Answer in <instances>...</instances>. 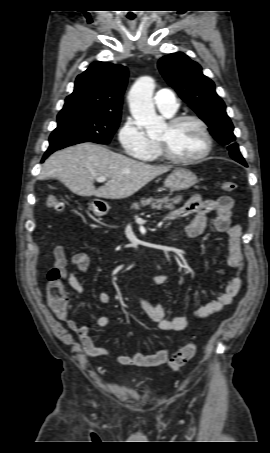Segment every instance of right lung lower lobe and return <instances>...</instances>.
<instances>
[{"label":"right lung lower lobe","instance_id":"obj_1","mask_svg":"<svg viewBox=\"0 0 270 453\" xmlns=\"http://www.w3.org/2000/svg\"><path fill=\"white\" fill-rule=\"evenodd\" d=\"M54 151L56 150H47L46 153L44 154L43 158H42V162L51 154L53 153Z\"/></svg>","mask_w":270,"mask_h":453}]
</instances>
